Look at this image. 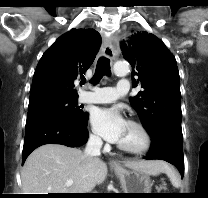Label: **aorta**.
<instances>
[{
  "label": "aorta",
  "instance_id": "obj_1",
  "mask_svg": "<svg viewBox=\"0 0 208 198\" xmlns=\"http://www.w3.org/2000/svg\"><path fill=\"white\" fill-rule=\"evenodd\" d=\"M113 70L116 76L122 77L129 72V65L126 62L118 61L114 64Z\"/></svg>",
  "mask_w": 208,
  "mask_h": 198
}]
</instances>
